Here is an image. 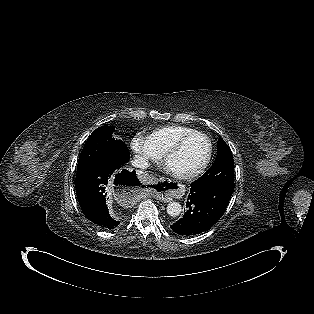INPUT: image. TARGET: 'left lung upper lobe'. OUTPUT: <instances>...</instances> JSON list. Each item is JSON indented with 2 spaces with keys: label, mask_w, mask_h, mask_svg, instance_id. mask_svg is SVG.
Segmentation results:
<instances>
[{
  "label": "left lung upper lobe",
  "mask_w": 314,
  "mask_h": 314,
  "mask_svg": "<svg viewBox=\"0 0 314 314\" xmlns=\"http://www.w3.org/2000/svg\"><path fill=\"white\" fill-rule=\"evenodd\" d=\"M234 160L231 149L220 137L218 140L217 157L208 171L195 183H233Z\"/></svg>",
  "instance_id": "5c2ea615"
}]
</instances>
